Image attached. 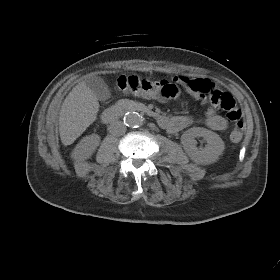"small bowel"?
<instances>
[{
  "mask_svg": "<svg viewBox=\"0 0 280 280\" xmlns=\"http://www.w3.org/2000/svg\"><path fill=\"white\" fill-rule=\"evenodd\" d=\"M174 82L183 87L202 104H205L208 101L206 92H203L202 89L206 87H213V83L210 80L190 78L186 76L175 77ZM193 121L194 119L188 115L170 116L167 117V124L163 128L173 134L189 127ZM203 122L208 128L215 131H224L228 127L227 120L216 114L211 108L206 111Z\"/></svg>",
  "mask_w": 280,
  "mask_h": 280,
  "instance_id": "small-bowel-1",
  "label": "small bowel"
}]
</instances>
